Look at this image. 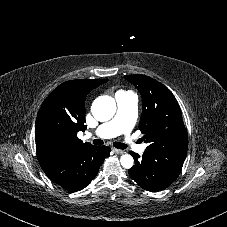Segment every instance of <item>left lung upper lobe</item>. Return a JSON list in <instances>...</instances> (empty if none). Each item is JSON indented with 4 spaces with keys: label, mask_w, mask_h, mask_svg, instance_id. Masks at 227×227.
I'll return each mask as SVG.
<instances>
[{
    "label": "left lung upper lobe",
    "mask_w": 227,
    "mask_h": 227,
    "mask_svg": "<svg viewBox=\"0 0 227 227\" xmlns=\"http://www.w3.org/2000/svg\"><path fill=\"white\" fill-rule=\"evenodd\" d=\"M142 96L139 129L150 147H188L181 109L171 91L145 75H126Z\"/></svg>",
    "instance_id": "obj_1"
}]
</instances>
